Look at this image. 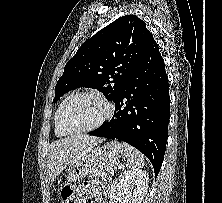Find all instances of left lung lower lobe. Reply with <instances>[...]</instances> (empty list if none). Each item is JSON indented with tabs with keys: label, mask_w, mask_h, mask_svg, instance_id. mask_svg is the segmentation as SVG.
<instances>
[{
	"label": "left lung lower lobe",
	"mask_w": 222,
	"mask_h": 203,
	"mask_svg": "<svg viewBox=\"0 0 222 203\" xmlns=\"http://www.w3.org/2000/svg\"><path fill=\"white\" fill-rule=\"evenodd\" d=\"M114 103L111 121L88 134L134 146L148 157L157 176L166 149L170 99L164 60L152 34Z\"/></svg>",
	"instance_id": "1"
}]
</instances>
